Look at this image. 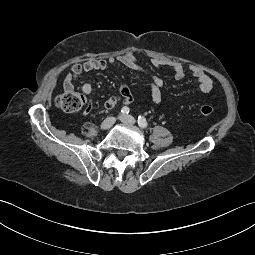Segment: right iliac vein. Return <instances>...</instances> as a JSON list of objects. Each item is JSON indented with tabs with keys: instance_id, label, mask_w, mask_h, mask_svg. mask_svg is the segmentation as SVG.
Segmentation results:
<instances>
[{
	"instance_id": "1",
	"label": "right iliac vein",
	"mask_w": 255,
	"mask_h": 255,
	"mask_svg": "<svg viewBox=\"0 0 255 255\" xmlns=\"http://www.w3.org/2000/svg\"><path fill=\"white\" fill-rule=\"evenodd\" d=\"M115 118L114 117H108L106 118L100 125L101 130H107L113 126L115 123Z\"/></svg>"
}]
</instances>
